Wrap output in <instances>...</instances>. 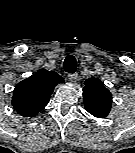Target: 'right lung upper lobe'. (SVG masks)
I'll return each mask as SVG.
<instances>
[{
	"label": "right lung upper lobe",
	"mask_w": 135,
	"mask_h": 153,
	"mask_svg": "<svg viewBox=\"0 0 135 153\" xmlns=\"http://www.w3.org/2000/svg\"><path fill=\"white\" fill-rule=\"evenodd\" d=\"M63 82L64 79L54 71L38 70L17 84L13 96L15 108L22 116H35L48 104L54 87Z\"/></svg>",
	"instance_id": "right-lung-upper-lobe-1"
}]
</instances>
